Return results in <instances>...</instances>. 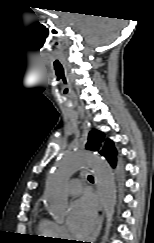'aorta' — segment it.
Returning a JSON list of instances; mask_svg holds the SVG:
<instances>
[{
  "instance_id": "obj_1",
  "label": "aorta",
  "mask_w": 154,
  "mask_h": 243,
  "mask_svg": "<svg viewBox=\"0 0 154 243\" xmlns=\"http://www.w3.org/2000/svg\"><path fill=\"white\" fill-rule=\"evenodd\" d=\"M93 171L95 182L101 196L104 213L111 219L116 202L115 180L110 166L106 161L88 151H74L64 153L56 162L46 182L47 210L57 221H62L68 212V200L65 191L66 184L72 175L81 168ZM109 227L101 243L108 237Z\"/></svg>"
}]
</instances>
